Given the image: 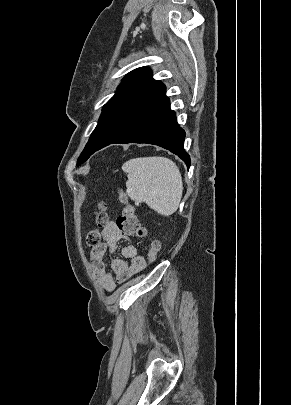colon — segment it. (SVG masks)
<instances>
[{"instance_id":"5ec220e1","label":"colon","mask_w":291,"mask_h":405,"mask_svg":"<svg viewBox=\"0 0 291 405\" xmlns=\"http://www.w3.org/2000/svg\"><path fill=\"white\" fill-rule=\"evenodd\" d=\"M119 200L123 204V210L115 222L116 226L123 234L143 237L146 233L145 228L140 223L134 207L128 202L123 191H120L119 193ZM99 209L100 212L95 218L96 228L89 230L86 235V243L91 248H95L101 244V233L99 229L106 225L107 222L104 213L105 204L100 203ZM159 250V241H152L146 253L148 263L152 264L157 260Z\"/></svg>"}]
</instances>
